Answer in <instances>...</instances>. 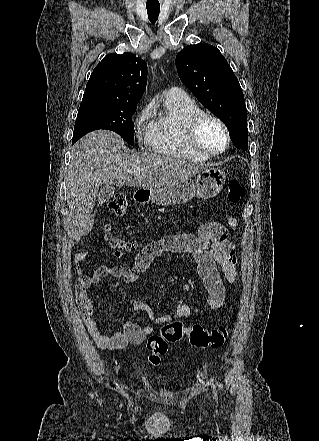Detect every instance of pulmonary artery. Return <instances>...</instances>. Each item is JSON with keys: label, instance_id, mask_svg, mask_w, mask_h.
<instances>
[{"label": "pulmonary artery", "instance_id": "pulmonary-artery-1", "mask_svg": "<svg viewBox=\"0 0 319 441\" xmlns=\"http://www.w3.org/2000/svg\"><path fill=\"white\" fill-rule=\"evenodd\" d=\"M166 96L168 98H175V99H183L187 97L185 91L179 87H171L167 91Z\"/></svg>", "mask_w": 319, "mask_h": 441}]
</instances>
